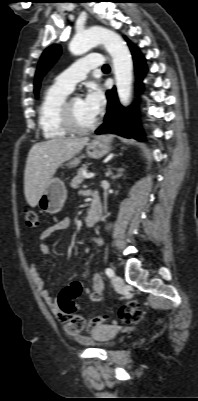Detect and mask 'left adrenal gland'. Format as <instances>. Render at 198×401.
<instances>
[{
    "instance_id": "a2214340",
    "label": "left adrenal gland",
    "mask_w": 198,
    "mask_h": 401,
    "mask_svg": "<svg viewBox=\"0 0 198 401\" xmlns=\"http://www.w3.org/2000/svg\"><path fill=\"white\" fill-rule=\"evenodd\" d=\"M111 174H112V173H111V171L109 170V171H108V175H111Z\"/></svg>"
}]
</instances>
